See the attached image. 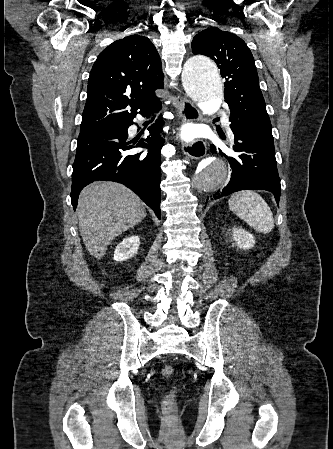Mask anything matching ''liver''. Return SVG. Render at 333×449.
I'll list each match as a JSON object with an SVG mask.
<instances>
[{"label": "liver", "mask_w": 333, "mask_h": 449, "mask_svg": "<svg viewBox=\"0 0 333 449\" xmlns=\"http://www.w3.org/2000/svg\"><path fill=\"white\" fill-rule=\"evenodd\" d=\"M79 230L88 252L101 259L117 236L146 217L141 199L116 182H95L80 193Z\"/></svg>", "instance_id": "6515ba94"}]
</instances>
